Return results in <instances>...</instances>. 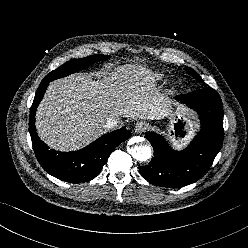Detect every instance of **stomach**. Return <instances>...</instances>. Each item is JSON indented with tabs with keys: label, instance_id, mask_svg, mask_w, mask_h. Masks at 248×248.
I'll use <instances>...</instances> for the list:
<instances>
[{
	"label": "stomach",
	"instance_id": "0dacf381",
	"mask_svg": "<svg viewBox=\"0 0 248 248\" xmlns=\"http://www.w3.org/2000/svg\"><path fill=\"white\" fill-rule=\"evenodd\" d=\"M166 134L177 146H184L192 138L195 130L194 122L186 115L178 112L169 114Z\"/></svg>",
	"mask_w": 248,
	"mask_h": 248
}]
</instances>
